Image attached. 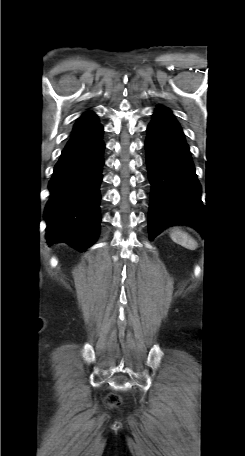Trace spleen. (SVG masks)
<instances>
[{
	"label": "spleen",
	"mask_w": 245,
	"mask_h": 456,
	"mask_svg": "<svg viewBox=\"0 0 245 456\" xmlns=\"http://www.w3.org/2000/svg\"><path fill=\"white\" fill-rule=\"evenodd\" d=\"M170 236L173 241L180 243L182 246H184L188 249L193 250L197 246L195 240L192 237H190L187 233H185L179 229L173 230L170 233Z\"/></svg>",
	"instance_id": "1"
}]
</instances>
